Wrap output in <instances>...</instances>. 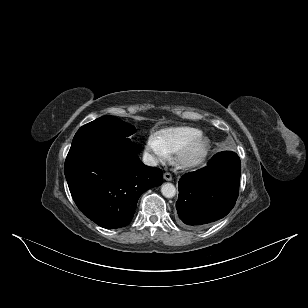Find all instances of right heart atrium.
Segmentation results:
<instances>
[{"label": "right heart atrium", "mask_w": 308, "mask_h": 308, "mask_svg": "<svg viewBox=\"0 0 308 308\" xmlns=\"http://www.w3.org/2000/svg\"><path fill=\"white\" fill-rule=\"evenodd\" d=\"M145 153L149 161L153 164L165 162L169 158V153L162 147L155 136H151L145 143Z\"/></svg>", "instance_id": "1"}]
</instances>
